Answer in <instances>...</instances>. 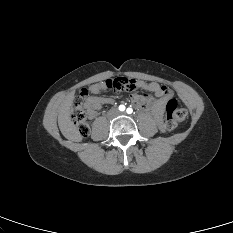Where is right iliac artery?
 Here are the masks:
<instances>
[{
    "instance_id": "82829eb1",
    "label": "right iliac artery",
    "mask_w": 233,
    "mask_h": 233,
    "mask_svg": "<svg viewBox=\"0 0 233 233\" xmlns=\"http://www.w3.org/2000/svg\"><path fill=\"white\" fill-rule=\"evenodd\" d=\"M119 110H120V111H124V110H125V106H124V105H120V106H119Z\"/></svg>"
}]
</instances>
